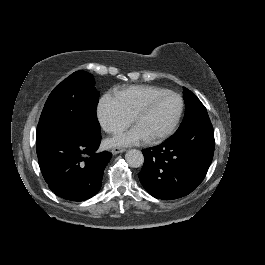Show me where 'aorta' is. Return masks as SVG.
I'll list each match as a JSON object with an SVG mask.
<instances>
[{
    "label": "aorta",
    "mask_w": 265,
    "mask_h": 265,
    "mask_svg": "<svg viewBox=\"0 0 265 265\" xmlns=\"http://www.w3.org/2000/svg\"><path fill=\"white\" fill-rule=\"evenodd\" d=\"M125 159H126V162L131 167H135V168L142 166L143 162H144L143 154L138 149H129V150H127V152L125 154Z\"/></svg>",
    "instance_id": "aorta-1"
}]
</instances>
